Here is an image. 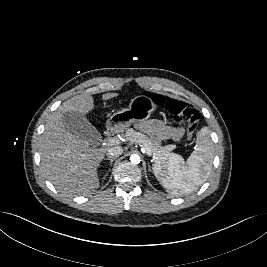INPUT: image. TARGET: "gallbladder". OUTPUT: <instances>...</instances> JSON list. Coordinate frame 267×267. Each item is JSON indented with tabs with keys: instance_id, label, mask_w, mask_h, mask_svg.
<instances>
[{
	"instance_id": "bac80fb5",
	"label": "gallbladder",
	"mask_w": 267,
	"mask_h": 267,
	"mask_svg": "<svg viewBox=\"0 0 267 267\" xmlns=\"http://www.w3.org/2000/svg\"><path fill=\"white\" fill-rule=\"evenodd\" d=\"M62 121L70 133L88 141L91 145H98L101 142V134L85 115L77 111H69L64 113Z\"/></svg>"
}]
</instances>
